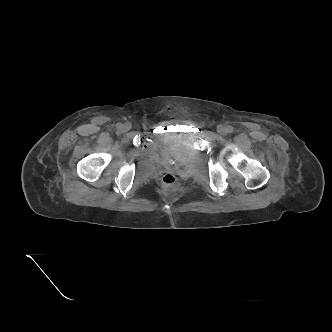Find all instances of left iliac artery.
Wrapping results in <instances>:
<instances>
[{
    "mask_svg": "<svg viewBox=\"0 0 332 332\" xmlns=\"http://www.w3.org/2000/svg\"><path fill=\"white\" fill-rule=\"evenodd\" d=\"M234 130H233V127L232 126H228L227 127V132L228 133H232Z\"/></svg>",
    "mask_w": 332,
    "mask_h": 332,
    "instance_id": "obj_1",
    "label": "left iliac artery"
}]
</instances>
